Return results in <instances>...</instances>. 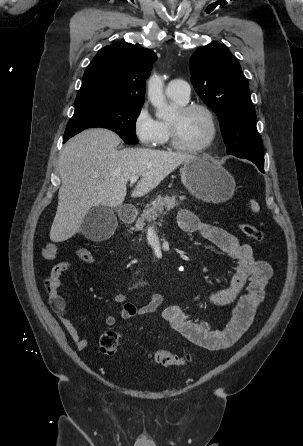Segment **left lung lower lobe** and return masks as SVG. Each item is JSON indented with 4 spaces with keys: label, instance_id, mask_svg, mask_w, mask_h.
Returning a JSON list of instances; mask_svg holds the SVG:
<instances>
[{
    "label": "left lung lower lobe",
    "instance_id": "0a47b994",
    "mask_svg": "<svg viewBox=\"0 0 303 446\" xmlns=\"http://www.w3.org/2000/svg\"><path fill=\"white\" fill-rule=\"evenodd\" d=\"M248 160H249V159H248ZM250 161H252L253 163H255L261 171H264V164H261V163H259V162L256 161V160H250Z\"/></svg>",
    "mask_w": 303,
    "mask_h": 446
}]
</instances>
